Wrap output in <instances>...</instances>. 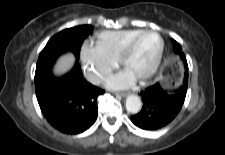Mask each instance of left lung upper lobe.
I'll list each match as a JSON object with an SVG mask.
<instances>
[{
  "label": "left lung upper lobe",
  "mask_w": 225,
  "mask_h": 155,
  "mask_svg": "<svg viewBox=\"0 0 225 155\" xmlns=\"http://www.w3.org/2000/svg\"><path fill=\"white\" fill-rule=\"evenodd\" d=\"M173 45H174V52L176 54H180V57H181V59L184 62V67H185V70H186L185 78H184V81H183V83H184V82H187L188 81V65H187V60H186L185 55L183 53H181L182 48H181L180 44L177 43L175 40H173Z\"/></svg>",
  "instance_id": "obj_1"
}]
</instances>
